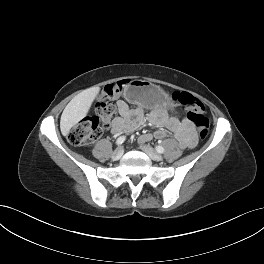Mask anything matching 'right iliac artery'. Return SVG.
Segmentation results:
<instances>
[{
    "instance_id": "1",
    "label": "right iliac artery",
    "mask_w": 264,
    "mask_h": 264,
    "mask_svg": "<svg viewBox=\"0 0 264 264\" xmlns=\"http://www.w3.org/2000/svg\"><path fill=\"white\" fill-rule=\"evenodd\" d=\"M126 140L125 136H120L117 140H116V144L119 146L122 143H124V141Z\"/></svg>"
}]
</instances>
